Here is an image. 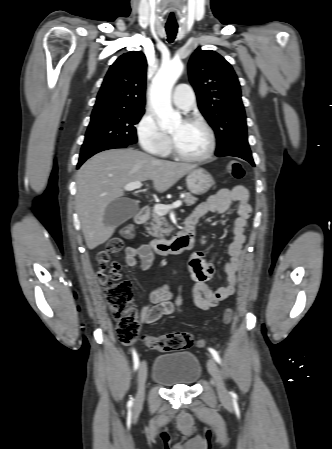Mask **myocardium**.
<instances>
[{
	"label": "myocardium",
	"instance_id": "1",
	"mask_svg": "<svg viewBox=\"0 0 332 449\" xmlns=\"http://www.w3.org/2000/svg\"><path fill=\"white\" fill-rule=\"evenodd\" d=\"M185 122L191 123V124H196L203 128V130L206 132L207 137H208V148L201 155H195V156L187 155V154L182 153L177 148V146L172 138L171 139V149H172L173 154L177 158H179L183 161H187V162L207 161L208 159H210L213 156V154L215 153V150H216V137H215V133H214L213 129L210 127V125L206 121H204L203 119H201L199 117H190V118L186 119Z\"/></svg>",
	"mask_w": 332,
	"mask_h": 449
}]
</instances>
